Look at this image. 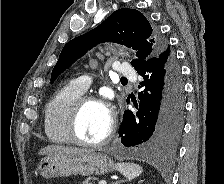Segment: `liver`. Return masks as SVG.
Returning <instances> with one entry per match:
<instances>
[{
    "label": "liver",
    "instance_id": "1",
    "mask_svg": "<svg viewBox=\"0 0 224 184\" xmlns=\"http://www.w3.org/2000/svg\"><path fill=\"white\" fill-rule=\"evenodd\" d=\"M80 152H87V150L73 148V147H65V146H56V145H49L39 151V155L47 156V157H56V156H63V155H73Z\"/></svg>",
    "mask_w": 224,
    "mask_h": 184
}]
</instances>
